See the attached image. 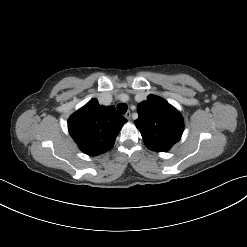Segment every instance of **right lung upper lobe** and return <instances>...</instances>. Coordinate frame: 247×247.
I'll use <instances>...</instances> for the list:
<instances>
[{
	"instance_id": "cb5924a9",
	"label": "right lung upper lobe",
	"mask_w": 247,
	"mask_h": 247,
	"mask_svg": "<svg viewBox=\"0 0 247 247\" xmlns=\"http://www.w3.org/2000/svg\"><path fill=\"white\" fill-rule=\"evenodd\" d=\"M126 122L113 106H103L91 99L69 118L68 130L82 152L98 156L112 149Z\"/></svg>"
}]
</instances>
